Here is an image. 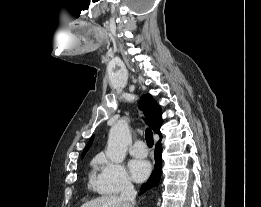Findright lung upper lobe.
I'll return each mask as SVG.
<instances>
[{"instance_id": "right-lung-upper-lobe-1", "label": "right lung upper lobe", "mask_w": 261, "mask_h": 207, "mask_svg": "<svg viewBox=\"0 0 261 207\" xmlns=\"http://www.w3.org/2000/svg\"><path fill=\"white\" fill-rule=\"evenodd\" d=\"M139 105L140 108L145 112L148 125L155 133H157L160 136L159 141H161L162 134L160 132V127L163 123V120L161 118L162 112L160 106L156 103V101L153 99V97L150 94L143 95L139 101ZM92 141H93V136L85 146L82 153V158L90 148Z\"/></svg>"}]
</instances>
